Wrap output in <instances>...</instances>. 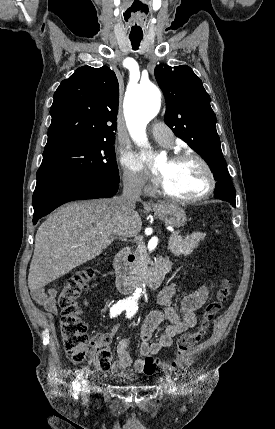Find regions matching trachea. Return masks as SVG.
<instances>
[{"instance_id": "obj_1", "label": "trachea", "mask_w": 275, "mask_h": 429, "mask_svg": "<svg viewBox=\"0 0 275 429\" xmlns=\"http://www.w3.org/2000/svg\"><path fill=\"white\" fill-rule=\"evenodd\" d=\"M130 40H131V44H132L133 49L137 50L139 45H140V42L142 40V37H139V38L130 37Z\"/></svg>"}]
</instances>
